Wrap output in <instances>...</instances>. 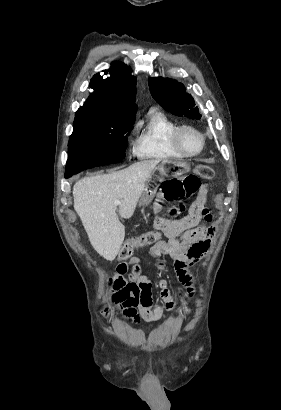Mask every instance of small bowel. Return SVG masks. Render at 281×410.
I'll return each instance as SVG.
<instances>
[{"label":"small bowel","instance_id":"1","mask_svg":"<svg viewBox=\"0 0 281 410\" xmlns=\"http://www.w3.org/2000/svg\"><path fill=\"white\" fill-rule=\"evenodd\" d=\"M209 189L203 185L191 204L188 213L179 220H167L162 216L156 219V228L167 237V241L157 242L150 250V256H169L173 259V269L178 280L192 285L189 268L196 264L208 251L215 235L212 216L206 207ZM203 220V223L201 221ZM158 270H166L164 262L158 263ZM110 288V301L113 305L134 314L138 308L139 316L146 322H155L162 318L164 310L153 305L152 283L140 264V258L133 256L127 262H120L111 277L107 280ZM159 297L167 310H173L175 302L168 288L167 281L160 277L157 281ZM184 297L183 293L179 294Z\"/></svg>","mask_w":281,"mask_h":410}]
</instances>
